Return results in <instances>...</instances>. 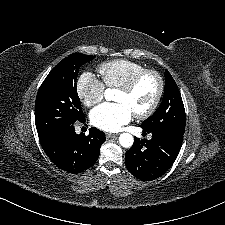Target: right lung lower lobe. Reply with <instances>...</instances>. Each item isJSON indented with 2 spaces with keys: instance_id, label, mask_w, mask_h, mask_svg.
Segmentation results:
<instances>
[{
  "instance_id": "right-lung-lower-lobe-1",
  "label": "right lung lower lobe",
  "mask_w": 225,
  "mask_h": 225,
  "mask_svg": "<svg viewBox=\"0 0 225 225\" xmlns=\"http://www.w3.org/2000/svg\"><path fill=\"white\" fill-rule=\"evenodd\" d=\"M80 121L84 122L85 116ZM39 139L50 160L58 168L70 173H80L93 166L106 140L104 132L95 127L85 136L76 134L73 126Z\"/></svg>"
}]
</instances>
